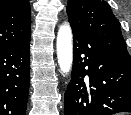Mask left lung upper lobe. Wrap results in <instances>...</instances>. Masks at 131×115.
<instances>
[{
  "label": "left lung upper lobe",
  "instance_id": "5c2ea615",
  "mask_svg": "<svg viewBox=\"0 0 131 115\" xmlns=\"http://www.w3.org/2000/svg\"><path fill=\"white\" fill-rule=\"evenodd\" d=\"M67 14L71 27L92 36L114 58L131 66L120 24L107 2L68 0Z\"/></svg>",
  "mask_w": 131,
  "mask_h": 115
}]
</instances>
